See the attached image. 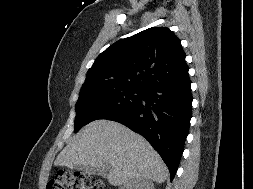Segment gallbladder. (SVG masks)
Returning <instances> with one entry per match:
<instances>
[{
  "label": "gallbladder",
  "instance_id": "gallbladder-1",
  "mask_svg": "<svg viewBox=\"0 0 253 189\" xmlns=\"http://www.w3.org/2000/svg\"><path fill=\"white\" fill-rule=\"evenodd\" d=\"M71 168H73L75 170H78V171H81L85 174H89V175H101L103 177L106 176V173H105L104 170L94 168V167H91V166H87V165H76V166H73Z\"/></svg>",
  "mask_w": 253,
  "mask_h": 189
}]
</instances>
